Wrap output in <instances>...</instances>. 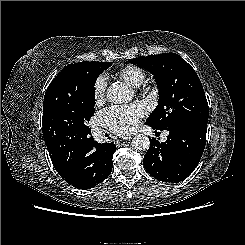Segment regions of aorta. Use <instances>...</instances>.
Instances as JSON below:
<instances>
[{
  "mask_svg": "<svg viewBox=\"0 0 245 245\" xmlns=\"http://www.w3.org/2000/svg\"><path fill=\"white\" fill-rule=\"evenodd\" d=\"M106 96L110 103L121 104L130 100L132 98V93L126 85L116 82L108 87ZM131 146L136 151H145L150 146V140L146 135L138 134L133 137Z\"/></svg>",
  "mask_w": 245,
  "mask_h": 245,
  "instance_id": "762f6f07",
  "label": "aorta"
}]
</instances>
